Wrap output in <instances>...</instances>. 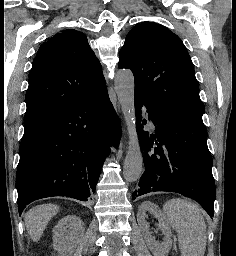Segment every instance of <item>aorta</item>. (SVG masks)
I'll list each match as a JSON object with an SVG mask.
<instances>
[{"label":"aorta","mask_w":236,"mask_h":256,"mask_svg":"<svg viewBox=\"0 0 236 256\" xmlns=\"http://www.w3.org/2000/svg\"><path fill=\"white\" fill-rule=\"evenodd\" d=\"M134 89L135 83L132 72L128 69L119 70L115 75V90L129 135L128 151L123 166V176L127 182L137 181L143 170V157L135 123Z\"/></svg>","instance_id":"obj_1"}]
</instances>
